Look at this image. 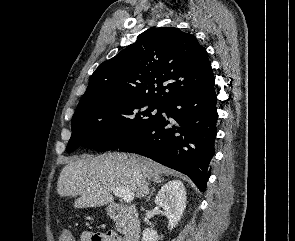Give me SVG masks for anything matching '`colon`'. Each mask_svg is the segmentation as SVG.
<instances>
[{"label":"colon","instance_id":"1","mask_svg":"<svg viewBox=\"0 0 295 241\" xmlns=\"http://www.w3.org/2000/svg\"><path fill=\"white\" fill-rule=\"evenodd\" d=\"M59 241H74V238L70 231H62Z\"/></svg>","mask_w":295,"mask_h":241}]
</instances>
